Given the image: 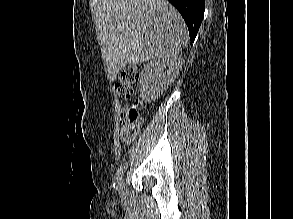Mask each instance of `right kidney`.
<instances>
[{
  "label": "right kidney",
  "mask_w": 293,
  "mask_h": 219,
  "mask_svg": "<svg viewBox=\"0 0 293 219\" xmlns=\"http://www.w3.org/2000/svg\"><path fill=\"white\" fill-rule=\"evenodd\" d=\"M183 62V58L177 56L150 61L142 70L139 80L141 99L152 102L159 98L175 80Z\"/></svg>",
  "instance_id": "obj_1"
}]
</instances>
